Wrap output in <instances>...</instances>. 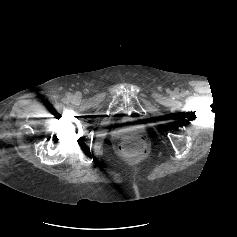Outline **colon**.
I'll return each mask as SVG.
<instances>
[{
	"label": "colon",
	"mask_w": 237,
	"mask_h": 237,
	"mask_svg": "<svg viewBox=\"0 0 237 237\" xmlns=\"http://www.w3.org/2000/svg\"><path fill=\"white\" fill-rule=\"evenodd\" d=\"M120 152L127 157H141L148 151L145 139L137 132H128L124 135L120 147Z\"/></svg>",
	"instance_id": "obj_1"
}]
</instances>
